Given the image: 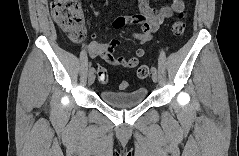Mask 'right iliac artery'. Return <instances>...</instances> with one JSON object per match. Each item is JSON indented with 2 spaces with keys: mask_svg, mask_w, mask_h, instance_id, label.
Returning a JSON list of instances; mask_svg holds the SVG:
<instances>
[{
  "mask_svg": "<svg viewBox=\"0 0 239 156\" xmlns=\"http://www.w3.org/2000/svg\"><path fill=\"white\" fill-rule=\"evenodd\" d=\"M94 71H95V68L94 67H90L89 73H93Z\"/></svg>",
  "mask_w": 239,
  "mask_h": 156,
  "instance_id": "1",
  "label": "right iliac artery"
}]
</instances>
